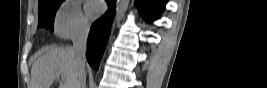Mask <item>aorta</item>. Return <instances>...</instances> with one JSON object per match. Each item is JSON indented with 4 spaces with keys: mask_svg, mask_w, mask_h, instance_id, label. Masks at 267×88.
Wrapping results in <instances>:
<instances>
[{
    "mask_svg": "<svg viewBox=\"0 0 267 88\" xmlns=\"http://www.w3.org/2000/svg\"><path fill=\"white\" fill-rule=\"evenodd\" d=\"M129 0H117L116 2V20L120 21L128 8Z\"/></svg>",
    "mask_w": 267,
    "mask_h": 88,
    "instance_id": "762f6f07",
    "label": "aorta"
}]
</instances>
